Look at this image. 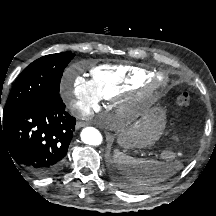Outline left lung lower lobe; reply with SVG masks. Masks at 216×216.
Listing matches in <instances>:
<instances>
[{"label":"left lung lower lobe","instance_id":"obj_1","mask_svg":"<svg viewBox=\"0 0 216 216\" xmlns=\"http://www.w3.org/2000/svg\"><path fill=\"white\" fill-rule=\"evenodd\" d=\"M115 182L122 188L127 190H134L137 186L129 180V178L121 172V174H115Z\"/></svg>","mask_w":216,"mask_h":216}]
</instances>
